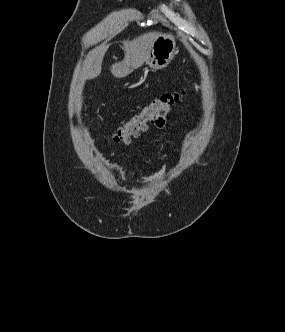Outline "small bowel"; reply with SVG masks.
<instances>
[{"label": "small bowel", "instance_id": "1", "mask_svg": "<svg viewBox=\"0 0 285 332\" xmlns=\"http://www.w3.org/2000/svg\"><path fill=\"white\" fill-rule=\"evenodd\" d=\"M150 122H153L154 126H161L162 122H167V115H150Z\"/></svg>", "mask_w": 285, "mask_h": 332}]
</instances>
